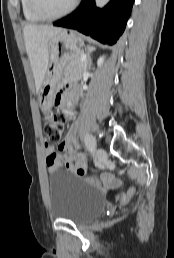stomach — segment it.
Listing matches in <instances>:
<instances>
[{"label":"stomach","instance_id":"0dacf381","mask_svg":"<svg viewBox=\"0 0 174 258\" xmlns=\"http://www.w3.org/2000/svg\"><path fill=\"white\" fill-rule=\"evenodd\" d=\"M81 47V39L71 30L64 29L49 39L50 63L39 91V105L45 115L51 111L65 65L82 54Z\"/></svg>","mask_w":174,"mask_h":258}]
</instances>
